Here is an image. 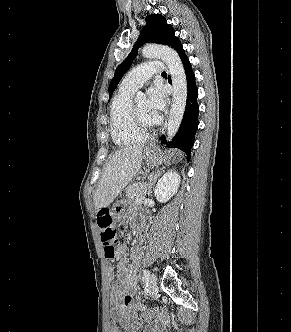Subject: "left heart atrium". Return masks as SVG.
<instances>
[{"label": "left heart atrium", "mask_w": 291, "mask_h": 332, "mask_svg": "<svg viewBox=\"0 0 291 332\" xmlns=\"http://www.w3.org/2000/svg\"><path fill=\"white\" fill-rule=\"evenodd\" d=\"M150 116L155 124L162 121V113L166 105V94L164 90L155 86L149 89L147 99Z\"/></svg>", "instance_id": "obj_1"}]
</instances>
